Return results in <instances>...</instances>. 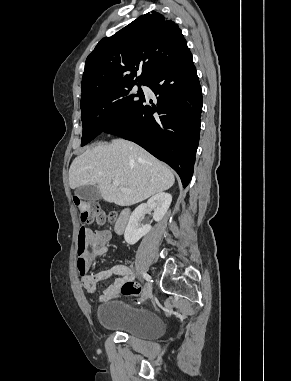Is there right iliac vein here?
<instances>
[{
    "label": "right iliac vein",
    "mask_w": 291,
    "mask_h": 381,
    "mask_svg": "<svg viewBox=\"0 0 291 381\" xmlns=\"http://www.w3.org/2000/svg\"><path fill=\"white\" fill-rule=\"evenodd\" d=\"M152 294V286L147 285L144 291V294L141 297V302H145Z\"/></svg>",
    "instance_id": "63e3f726"
}]
</instances>
